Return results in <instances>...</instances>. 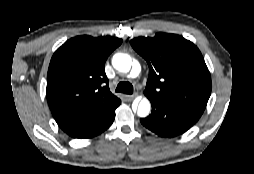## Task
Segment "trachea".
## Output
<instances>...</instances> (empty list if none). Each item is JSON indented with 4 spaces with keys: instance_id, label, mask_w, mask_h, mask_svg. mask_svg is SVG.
<instances>
[{
    "instance_id": "3493384b",
    "label": "trachea",
    "mask_w": 254,
    "mask_h": 174,
    "mask_svg": "<svg viewBox=\"0 0 254 174\" xmlns=\"http://www.w3.org/2000/svg\"><path fill=\"white\" fill-rule=\"evenodd\" d=\"M116 92L132 94L133 93V86L129 82L122 81L117 85Z\"/></svg>"
}]
</instances>
